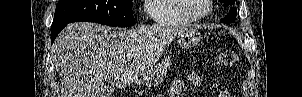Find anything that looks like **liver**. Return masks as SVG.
I'll list each match as a JSON object with an SVG mask.
<instances>
[{"instance_id":"1","label":"liver","mask_w":302,"mask_h":97,"mask_svg":"<svg viewBox=\"0 0 302 97\" xmlns=\"http://www.w3.org/2000/svg\"><path fill=\"white\" fill-rule=\"evenodd\" d=\"M180 26L112 29L71 23L54 41L53 61L61 80L60 97H101L104 80L119 88L145 75L182 31ZM128 56H133L129 65Z\"/></svg>"}]
</instances>
